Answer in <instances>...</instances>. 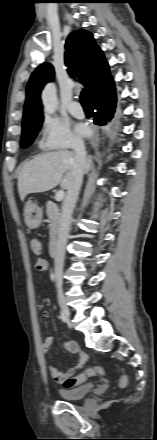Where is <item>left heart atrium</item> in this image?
I'll return each mask as SVG.
<instances>
[{
	"label": "left heart atrium",
	"mask_w": 157,
	"mask_h": 440,
	"mask_svg": "<svg viewBox=\"0 0 157 440\" xmlns=\"http://www.w3.org/2000/svg\"><path fill=\"white\" fill-rule=\"evenodd\" d=\"M76 133L81 137H88L91 134V129L88 124L78 122L74 126Z\"/></svg>",
	"instance_id": "39dd6f15"
}]
</instances>
